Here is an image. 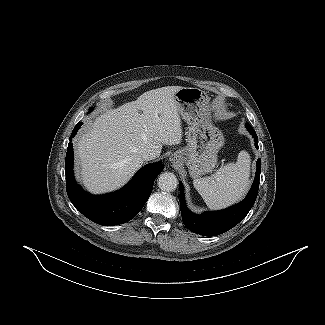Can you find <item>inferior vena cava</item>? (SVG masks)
Returning <instances> with one entry per match:
<instances>
[{
    "label": "inferior vena cava",
    "instance_id": "inferior-vena-cava-1",
    "mask_svg": "<svg viewBox=\"0 0 325 325\" xmlns=\"http://www.w3.org/2000/svg\"><path fill=\"white\" fill-rule=\"evenodd\" d=\"M141 157L145 161H150L155 159L157 157V154L153 149H145L141 152Z\"/></svg>",
    "mask_w": 325,
    "mask_h": 325
}]
</instances>
